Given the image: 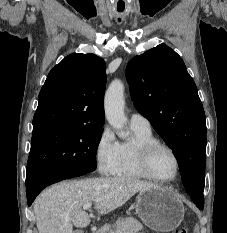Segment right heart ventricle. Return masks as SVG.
Returning <instances> with one entry per match:
<instances>
[{
  "label": "right heart ventricle",
  "mask_w": 227,
  "mask_h": 233,
  "mask_svg": "<svg viewBox=\"0 0 227 233\" xmlns=\"http://www.w3.org/2000/svg\"><path fill=\"white\" fill-rule=\"evenodd\" d=\"M134 140L120 144V159L115 175L128 178H146L137 162L139 146L157 141L151 131L132 128Z\"/></svg>",
  "instance_id": "right-heart-ventricle-1"
}]
</instances>
